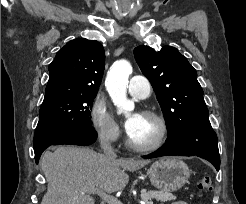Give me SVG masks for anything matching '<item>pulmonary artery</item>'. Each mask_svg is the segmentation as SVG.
I'll return each mask as SVG.
<instances>
[{"mask_svg": "<svg viewBox=\"0 0 246 204\" xmlns=\"http://www.w3.org/2000/svg\"><path fill=\"white\" fill-rule=\"evenodd\" d=\"M128 92L137 99L147 98L151 93L149 80L144 76H133L128 84Z\"/></svg>", "mask_w": 246, "mask_h": 204, "instance_id": "e3ab8cb5", "label": "pulmonary artery"}]
</instances>
